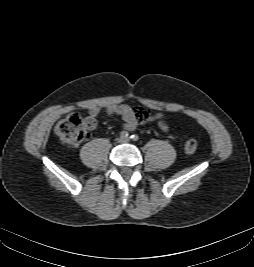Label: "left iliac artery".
Here are the masks:
<instances>
[{"label": "left iliac artery", "instance_id": "obj_1", "mask_svg": "<svg viewBox=\"0 0 254 267\" xmlns=\"http://www.w3.org/2000/svg\"><path fill=\"white\" fill-rule=\"evenodd\" d=\"M130 138L133 140V141H138L139 137L137 134H133L130 136Z\"/></svg>", "mask_w": 254, "mask_h": 267}]
</instances>
